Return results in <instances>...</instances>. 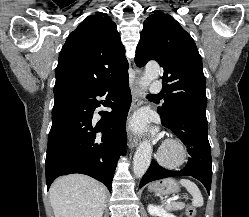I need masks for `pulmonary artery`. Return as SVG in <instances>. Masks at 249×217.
<instances>
[{
	"label": "pulmonary artery",
	"mask_w": 249,
	"mask_h": 217,
	"mask_svg": "<svg viewBox=\"0 0 249 217\" xmlns=\"http://www.w3.org/2000/svg\"><path fill=\"white\" fill-rule=\"evenodd\" d=\"M150 92L152 94H160L162 92V84L159 81H153L150 85Z\"/></svg>",
	"instance_id": "obj_1"
}]
</instances>
